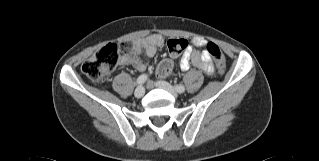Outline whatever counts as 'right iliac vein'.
Listing matches in <instances>:
<instances>
[{"mask_svg":"<svg viewBox=\"0 0 319 161\" xmlns=\"http://www.w3.org/2000/svg\"><path fill=\"white\" fill-rule=\"evenodd\" d=\"M144 94H145V89L143 86L137 87L134 93L136 98H141Z\"/></svg>","mask_w":319,"mask_h":161,"instance_id":"1","label":"right iliac vein"}]
</instances>
